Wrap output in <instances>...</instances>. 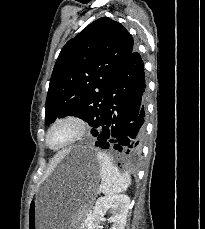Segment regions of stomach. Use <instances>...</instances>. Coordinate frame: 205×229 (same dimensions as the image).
<instances>
[{"label": "stomach", "instance_id": "obj_1", "mask_svg": "<svg viewBox=\"0 0 205 229\" xmlns=\"http://www.w3.org/2000/svg\"><path fill=\"white\" fill-rule=\"evenodd\" d=\"M65 157L79 161L82 192L69 202L66 195L37 196L29 204L27 229H83L82 220L94 196V188L100 175V164L93 149L77 146Z\"/></svg>", "mask_w": 205, "mask_h": 229}]
</instances>
